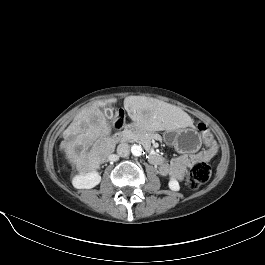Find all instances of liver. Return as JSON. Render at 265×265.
<instances>
[{"label":"liver","instance_id":"6515ba94","mask_svg":"<svg viewBox=\"0 0 265 265\" xmlns=\"http://www.w3.org/2000/svg\"><path fill=\"white\" fill-rule=\"evenodd\" d=\"M115 102V98H110L85 106L63 132L60 150L80 174L98 169L115 150L116 142L110 137L112 129L100 109ZM124 108L137 126L150 131L193 127V120L186 112L158 99L127 96Z\"/></svg>","mask_w":265,"mask_h":265}]
</instances>
